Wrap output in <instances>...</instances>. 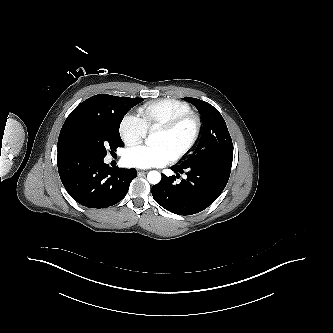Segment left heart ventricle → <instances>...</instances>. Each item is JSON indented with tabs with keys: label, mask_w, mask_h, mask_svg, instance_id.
Wrapping results in <instances>:
<instances>
[{
	"label": "left heart ventricle",
	"mask_w": 333,
	"mask_h": 333,
	"mask_svg": "<svg viewBox=\"0 0 333 333\" xmlns=\"http://www.w3.org/2000/svg\"><path fill=\"white\" fill-rule=\"evenodd\" d=\"M192 131V122L184 123L173 133L157 131L155 134L154 144L165 146L173 156L177 151H179L187 144L192 135Z\"/></svg>",
	"instance_id": "left-heart-ventricle-1"
}]
</instances>
